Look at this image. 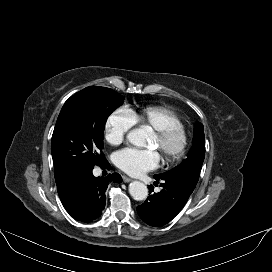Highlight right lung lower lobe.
Masks as SVG:
<instances>
[{
    "label": "right lung lower lobe",
    "instance_id": "obj_1",
    "mask_svg": "<svg viewBox=\"0 0 272 272\" xmlns=\"http://www.w3.org/2000/svg\"><path fill=\"white\" fill-rule=\"evenodd\" d=\"M104 166L110 167L107 161ZM121 181L118 173L103 178L94 177L90 170L77 176L59 196L63 206L74 219L91 222L100 216L105 207V191L109 183Z\"/></svg>",
    "mask_w": 272,
    "mask_h": 272
}]
</instances>
